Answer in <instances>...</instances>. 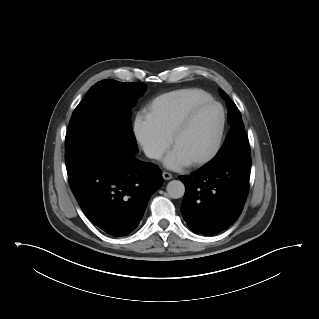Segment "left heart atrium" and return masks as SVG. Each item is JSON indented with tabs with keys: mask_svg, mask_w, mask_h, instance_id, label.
Returning a JSON list of instances; mask_svg holds the SVG:
<instances>
[{
	"mask_svg": "<svg viewBox=\"0 0 319 319\" xmlns=\"http://www.w3.org/2000/svg\"><path fill=\"white\" fill-rule=\"evenodd\" d=\"M164 165L171 170H180L189 165L176 150L172 149L164 159Z\"/></svg>",
	"mask_w": 319,
	"mask_h": 319,
	"instance_id": "left-heart-atrium-1",
	"label": "left heart atrium"
}]
</instances>
